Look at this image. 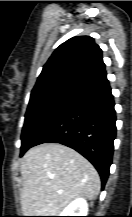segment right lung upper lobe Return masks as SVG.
<instances>
[{
  "label": "right lung upper lobe",
  "instance_id": "obj_1",
  "mask_svg": "<svg viewBox=\"0 0 132 217\" xmlns=\"http://www.w3.org/2000/svg\"><path fill=\"white\" fill-rule=\"evenodd\" d=\"M108 83L102 51L89 36H76L61 44L51 55L31 96L54 91L76 95Z\"/></svg>",
  "mask_w": 132,
  "mask_h": 217
}]
</instances>
